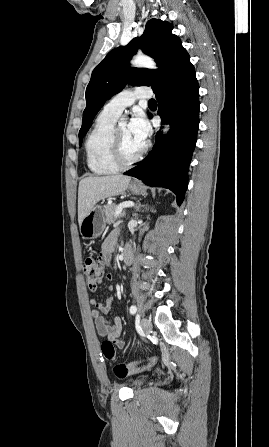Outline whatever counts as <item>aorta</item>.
I'll use <instances>...</instances> for the list:
<instances>
[{
	"mask_svg": "<svg viewBox=\"0 0 269 447\" xmlns=\"http://www.w3.org/2000/svg\"><path fill=\"white\" fill-rule=\"evenodd\" d=\"M131 64L133 68H151V70H155L156 64L153 62L152 58L149 56H144V54H137L134 56L133 60H131ZM170 126H165L163 132L167 134L169 132Z\"/></svg>",
	"mask_w": 269,
	"mask_h": 447,
	"instance_id": "1",
	"label": "aorta"
}]
</instances>
